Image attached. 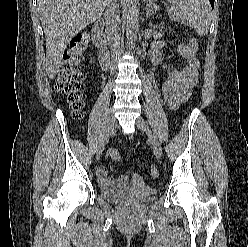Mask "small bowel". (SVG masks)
Listing matches in <instances>:
<instances>
[{"label":"small bowel","mask_w":248,"mask_h":247,"mask_svg":"<svg viewBox=\"0 0 248 247\" xmlns=\"http://www.w3.org/2000/svg\"><path fill=\"white\" fill-rule=\"evenodd\" d=\"M160 43L152 52V63L159 65L161 62V53L159 50ZM178 53L185 60V67L178 71L173 68H165V76L163 78L170 79L176 84V93L170 103V107L175 109L181 103L185 102L191 95L192 88L196 85L198 79L199 62L196 55L193 54L187 44H180L178 46ZM98 180L103 186H118L124 187L129 183V176L127 174L119 177H113L108 170L100 166L97 169Z\"/></svg>","instance_id":"small-bowel-1"}]
</instances>
